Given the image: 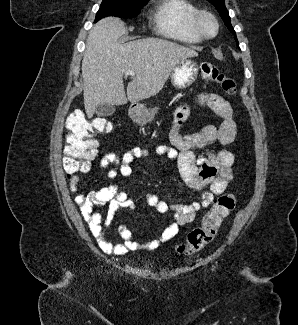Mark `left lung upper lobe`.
<instances>
[{
	"instance_id": "5c2ea615",
	"label": "left lung upper lobe",
	"mask_w": 298,
	"mask_h": 325,
	"mask_svg": "<svg viewBox=\"0 0 298 325\" xmlns=\"http://www.w3.org/2000/svg\"><path fill=\"white\" fill-rule=\"evenodd\" d=\"M208 1L215 6V8L219 12L221 18L223 19L225 25L228 27L230 32L235 34V31H234V29H233V27L231 26V23H230V17H229V14H228V10L225 7L224 0H208Z\"/></svg>"
}]
</instances>
